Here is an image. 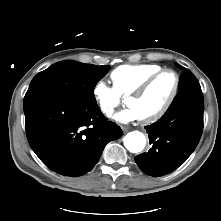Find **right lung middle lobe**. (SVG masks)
<instances>
[{"label":"right lung middle lobe","instance_id":"right-lung-middle-lobe-1","mask_svg":"<svg viewBox=\"0 0 221 221\" xmlns=\"http://www.w3.org/2000/svg\"><path fill=\"white\" fill-rule=\"evenodd\" d=\"M110 66H97L77 61H61L38 73L30 83L25 98L51 96L69 102L94 106V88Z\"/></svg>","mask_w":221,"mask_h":221}]
</instances>
